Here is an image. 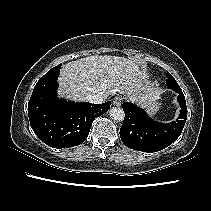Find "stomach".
Masks as SVG:
<instances>
[{
  "label": "stomach",
  "mask_w": 211,
  "mask_h": 211,
  "mask_svg": "<svg viewBox=\"0 0 211 211\" xmlns=\"http://www.w3.org/2000/svg\"><path fill=\"white\" fill-rule=\"evenodd\" d=\"M160 104L157 101L150 102L146 105V109L149 115H155L159 110Z\"/></svg>",
  "instance_id": "obj_1"
}]
</instances>
